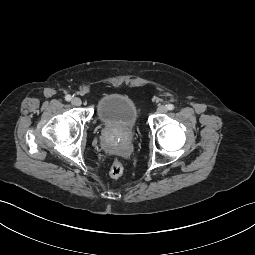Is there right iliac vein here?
Segmentation results:
<instances>
[{
  "label": "right iliac vein",
  "mask_w": 255,
  "mask_h": 255,
  "mask_svg": "<svg viewBox=\"0 0 255 255\" xmlns=\"http://www.w3.org/2000/svg\"><path fill=\"white\" fill-rule=\"evenodd\" d=\"M81 103H82V102H81V99L78 98V97H75V98L72 99V104H73L74 106H80Z\"/></svg>",
  "instance_id": "obj_1"
}]
</instances>
